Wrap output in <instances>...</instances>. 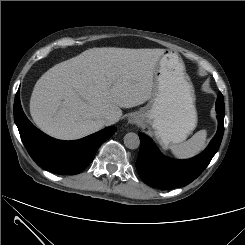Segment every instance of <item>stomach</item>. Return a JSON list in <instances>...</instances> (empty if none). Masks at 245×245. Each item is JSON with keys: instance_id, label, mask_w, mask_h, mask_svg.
<instances>
[{"instance_id": "obj_1", "label": "stomach", "mask_w": 245, "mask_h": 245, "mask_svg": "<svg viewBox=\"0 0 245 245\" xmlns=\"http://www.w3.org/2000/svg\"><path fill=\"white\" fill-rule=\"evenodd\" d=\"M137 115L163 147L183 142L196 128L194 88L179 54L165 50L160 57L152 96Z\"/></svg>"}]
</instances>
